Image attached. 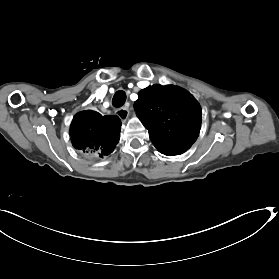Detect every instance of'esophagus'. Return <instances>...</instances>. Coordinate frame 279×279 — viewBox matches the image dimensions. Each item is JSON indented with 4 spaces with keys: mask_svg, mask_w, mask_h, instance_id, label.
<instances>
[{
    "mask_svg": "<svg viewBox=\"0 0 279 279\" xmlns=\"http://www.w3.org/2000/svg\"><path fill=\"white\" fill-rule=\"evenodd\" d=\"M115 114L122 120L125 121L127 120L128 116H129V107L128 106H124L121 107L119 109H117L115 111Z\"/></svg>",
    "mask_w": 279,
    "mask_h": 279,
    "instance_id": "esophagus-1",
    "label": "esophagus"
}]
</instances>
